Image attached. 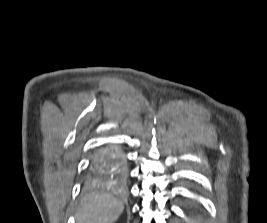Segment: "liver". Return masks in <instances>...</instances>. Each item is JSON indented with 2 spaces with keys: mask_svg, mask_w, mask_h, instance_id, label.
Segmentation results:
<instances>
[{
  "mask_svg": "<svg viewBox=\"0 0 267 223\" xmlns=\"http://www.w3.org/2000/svg\"><path fill=\"white\" fill-rule=\"evenodd\" d=\"M123 209L124 204L111 195L89 194L82 199L76 220L77 223H114Z\"/></svg>",
  "mask_w": 267,
  "mask_h": 223,
  "instance_id": "obj_1",
  "label": "liver"
}]
</instances>
